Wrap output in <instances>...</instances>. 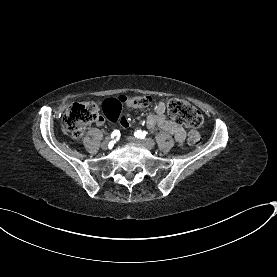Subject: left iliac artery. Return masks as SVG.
<instances>
[{
  "mask_svg": "<svg viewBox=\"0 0 277 277\" xmlns=\"http://www.w3.org/2000/svg\"><path fill=\"white\" fill-rule=\"evenodd\" d=\"M147 135V132L146 131H136L135 133H134V136L135 137H137V138H141V139H143V138H145V136Z\"/></svg>",
  "mask_w": 277,
  "mask_h": 277,
  "instance_id": "left-iliac-artery-1",
  "label": "left iliac artery"
}]
</instances>
